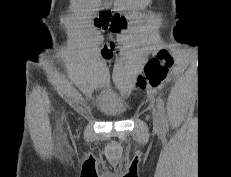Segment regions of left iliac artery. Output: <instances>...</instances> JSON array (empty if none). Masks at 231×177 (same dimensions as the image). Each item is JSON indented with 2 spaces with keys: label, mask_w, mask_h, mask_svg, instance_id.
Segmentation results:
<instances>
[{
  "label": "left iliac artery",
  "mask_w": 231,
  "mask_h": 177,
  "mask_svg": "<svg viewBox=\"0 0 231 177\" xmlns=\"http://www.w3.org/2000/svg\"><path fill=\"white\" fill-rule=\"evenodd\" d=\"M156 102H157L158 114L161 118L163 128L166 130L167 129V119L165 115L164 102L160 96L157 97Z\"/></svg>",
  "instance_id": "left-iliac-artery-1"
}]
</instances>
